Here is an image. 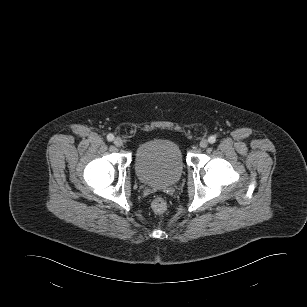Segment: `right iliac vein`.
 I'll return each instance as SVG.
<instances>
[{
  "mask_svg": "<svg viewBox=\"0 0 307 307\" xmlns=\"http://www.w3.org/2000/svg\"><path fill=\"white\" fill-rule=\"evenodd\" d=\"M114 144H115V146H117V147H121L122 144H123V141H122L121 138L117 137V138L114 139Z\"/></svg>",
  "mask_w": 307,
  "mask_h": 307,
  "instance_id": "63e3f726",
  "label": "right iliac vein"
}]
</instances>
